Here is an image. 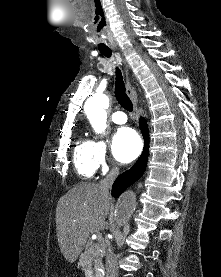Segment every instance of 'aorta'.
Wrapping results in <instances>:
<instances>
[{
  "label": "aorta",
  "instance_id": "762f6f07",
  "mask_svg": "<svg viewBox=\"0 0 221 277\" xmlns=\"http://www.w3.org/2000/svg\"><path fill=\"white\" fill-rule=\"evenodd\" d=\"M108 107L109 97L106 94H96L86 103L85 112L96 133H103L106 130L107 113L105 109ZM135 208L136 197L134 192L131 190L124 192L116 204V226L126 223L131 218Z\"/></svg>",
  "mask_w": 221,
  "mask_h": 277
}]
</instances>
